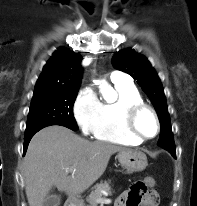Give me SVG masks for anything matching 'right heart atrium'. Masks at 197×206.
<instances>
[{"instance_id": "1", "label": "right heart atrium", "mask_w": 197, "mask_h": 206, "mask_svg": "<svg viewBox=\"0 0 197 206\" xmlns=\"http://www.w3.org/2000/svg\"><path fill=\"white\" fill-rule=\"evenodd\" d=\"M101 110V102L90 87L83 88L74 103L73 115L84 135L93 132Z\"/></svg>"}]
</instances>
